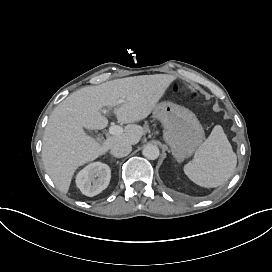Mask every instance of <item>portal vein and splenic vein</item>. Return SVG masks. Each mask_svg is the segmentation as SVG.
<instances>
[{"mask_svg": "<svg viewBox=\"0 0 272 272\" xmlns=\"http://www.w3.org/2000/svg\"><path fill=\"white\" fill-rule=\"evenodd\" d=\"M123 102H124L123 99H119V100L117 101L116 105H117V104H121V103H123ZM103 113H106V110H103ZM109 133H110V134H113V135H120V134L123 133V128H122L121 126H118V125L111 126V127L109 128Z\"/></svg>", "mask_w": 272, "mask_h": 272, "instance_id": "portal-vein-and-splenic-vein-1", "label": "portal vein and splenic vein"}]
</instances>
